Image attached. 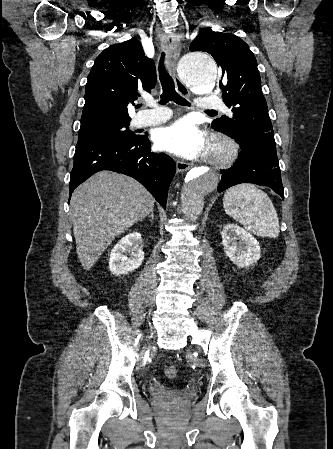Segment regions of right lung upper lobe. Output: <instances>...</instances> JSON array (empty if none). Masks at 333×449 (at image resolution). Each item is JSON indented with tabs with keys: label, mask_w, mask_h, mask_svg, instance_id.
<instances>
[{
	"label": "right lung upper lobe",
	"mask_w": 333,
	"mask_h": 449,
	"mask_svg": "<svg viewBox=\"0 0 333 449\" xmlns=\"http://www.w3.org/2000/svg\"><path fill=\"white\" fill-rule=\"evenodd\" d=\"M156 84L153 60L144 54L137 39L114 44L95 60L85 88L80 128L95 124L129 121L127 106Z\"/></svg>",
	"instance_id": "right-lung-upper-lobe-1"
}]
</instances>
